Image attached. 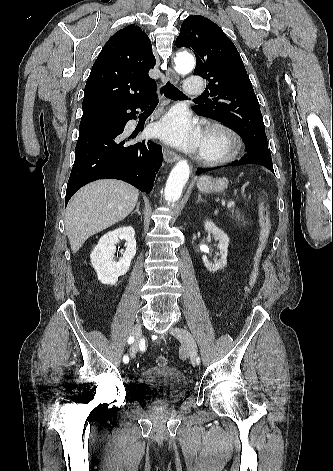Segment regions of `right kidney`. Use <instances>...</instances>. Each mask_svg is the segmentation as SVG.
Returning <instances> with one entry per match:
<instances>
[{"mask_svg": "<svg viewBox=\"0 0 333 471\" xmlns=\"http://www.w3.org/2000/svg\"><path fill=\"white\" fill-rule=\"evenodd\" d=\"M125 239L126 250L119 261L114 260L116 244ZM136 254L135 231L132 227H122L106 233L102 236L92 251L91 264L97 273L98 280L102 284L114 285L118 277L123 276L129 270L131 260Z\"/></svg>", "mask_w": 333, "mask_h": 471, "instance_id": "right-kidney-1", "label": "right kidney"}]
</instances>
